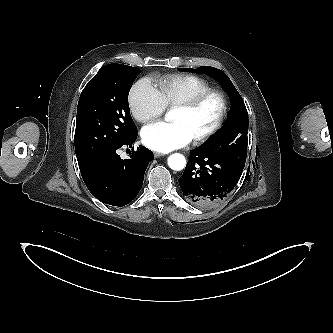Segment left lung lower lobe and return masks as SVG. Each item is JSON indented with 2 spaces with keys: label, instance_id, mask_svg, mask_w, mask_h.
Wrapping results in <instances>:
<instances>
[{
  "label": "left lung lower lobe",
  "instance_id": "0a47b994",
  "mask_svg": "<svg viewBox=\"0 0 333 333\" xmlns=\"http://www.w3.org/2000/svg\"><path fill=\"white\" fill-rule=\"evenodd\" d=\"M242 171L232 162L199 148L191 152L178 182L187 201L210 208L228 196L240 179Z\"/></svg>",
  "mask_w": 333,
  "mask_h": 333
}]
</instances>
